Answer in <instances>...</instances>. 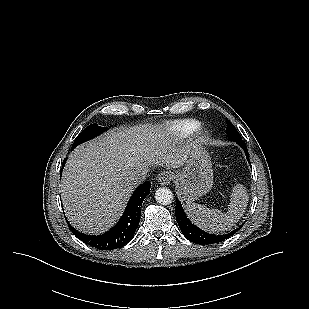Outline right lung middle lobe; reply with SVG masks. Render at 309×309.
I'll return each instance as SVG.
<instances>
[{"label":"right lung middle lobe","mask_w":309,"mask_h":309,"mask_svg":"<svg viewBox=\"0 0 309 309\" xmlns=\"http://www.w3.org/2000/svg\"><path fill=\"white\" fill-rule=\"evenodd\" d=\"M106 129L107 127H101V126H98L97 124L89 125L77 136V138L75 139L72 145V148H75L79 144L98 136L99 134L104 132Z\"/></svg>","instance_id":"right-lung-middle-lobe-1"}]
</instances>
